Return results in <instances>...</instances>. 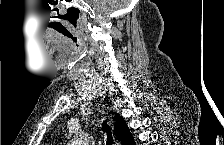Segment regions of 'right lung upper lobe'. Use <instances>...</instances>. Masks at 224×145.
I'll list each match as a JSON object with an SVG mask.
<instances>
[{
  "label": "right lung upper lobe",
  "mask_w": 224,
  "mask_h": 145,
  "mask_svg": "<svg viewBox=\"0 0 224 145\" xmlns=\"http://www.w3.org/2000/svg\"><path fill=\"white\" fill-rule=\"evenodd\" d=\"M114 119L116 120L114 131L117 139L120 140L123 145L133 144L134 139L124 119L116 113Z\"/></svg>",
  "instance_id": "obj_1"
}]
</instances>
